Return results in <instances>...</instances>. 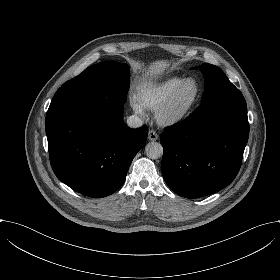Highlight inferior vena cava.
Masks as SVG:
<instances>
[{
	"instance_id": "1",
	"label": "inferior vena cava",
	"mask_w": 280,
	"mask_h": 280,
	"mask_svg": "<svg viewBox=\"0 0 280 280\" xmlns=\"http://www.w3.org/2000/svg\"><path fill=\"white\" fill-rule=\"evenodd\" d=\"M126 122L130 128H138L142 126L143 123L142 119L136 115L129 116Z\"/></svg>"
}]
</instances>
